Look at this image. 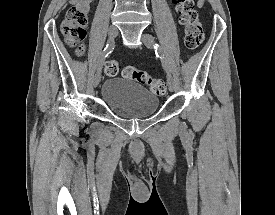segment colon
<instances>
[{"instance_id": "colon-1", "label": "colon", "mask_w": 275, "mask_h": 215, "mask_svg": "<svg viewBox=\"0 0 275 215\" xmlns=\"http://www.w3.org/2000/svg\"><path fill=\"white\" fill-rule=\"evenodd\" d=\"M91 0H76L66 13V18L62 24V32L66 43L75 51L82 55L84 52V40L86 37V26L88 24L87 10ZM177 4V11L180 15V23L185 27L184 44L186 48L193 52L203 40V27L194 8V0H174ZM119 66L115 60L104 62V72L107 76H115ZM123 76L146 85L150 91L158 96L166 93V83L157 78H153L144 70L128 65L123 69Z\"/></svg>"}]
</instances>
